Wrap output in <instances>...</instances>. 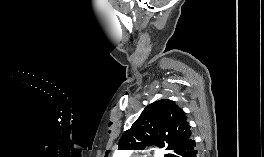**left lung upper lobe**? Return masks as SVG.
Masks as SVG:
<instances>
[{"instance_id": "left-lung-upper-lobe-1", "label": "left lung upper lobe", "mask_w": 264, "mask_h": 157, "mask_svg": "<svg viewBox=\"0 0 264 157\" xmlns=\"http://www.w3.org/2000/svg\"><path fill=\"white\" fill-rule=\"evenodd\" d=\"M191 138L186 113L173 101L161 99L148 105L119 142V149L141 150L158 146L168 150L165 157H177L180 148ZM109 150L106 151L107 157Z\"/></svg>"}]
</instances>
